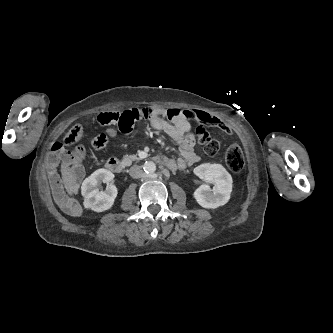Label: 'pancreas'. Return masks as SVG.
<instances>
[{"instance_id": "pancreas-1", "label": "pancreas", "mask_w": 333, "mask_h": 333, "mask_svg": "<svg viewBox=\"0 0 333 333\" xmlns=\"http://www.w3.org/2000/svg\"><path fill=\"white\" fill-rule=\"evenodd\" d=\"M138 160H140V158L137 155H135V154H133V155H125L123 157V161L125 163H127V164H130L131 162L138 161Z\"/></svg>"}]
</instances>
